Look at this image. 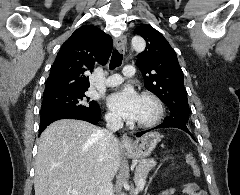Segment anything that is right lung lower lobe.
I'll return each mask as SVG.
<instances>
[{
	"label": "right lung lower lobe",
	"instance_id": "98d812e1",
	"mask_svg": "<svg viewBox=\"0 0 240 195\" xmlns=\"http://www.w3.org/2000/svg\"><path fill=\"white\" fill-rule=\"evenodd\" d=\"M100 112L101 111H70V112H61V113H54L49 114L46 116L41 117L40 119V130L39 134L42 133V131L51 124L52 122L60 119H79V120H85L92 124H96L100 121Z\"/></svg>",
	"mask_w": 240,
	"mask_h": 195
}]
</instances>
